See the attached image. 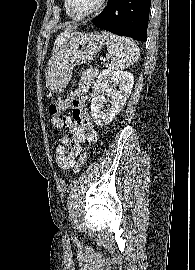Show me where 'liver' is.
Here are the masks:
<instances>
[{"instance_id": "1", "label": "liver", "mask_w": 195, "mask_h": 270, "mask_svg": "<svg viewBox=\"0 0 195 270\" xmlns=\"http://www.w3.org/2000/svg\"><path fill=\"white\" fill-rule=\"evenodd\" d=\"M70 33H71V30H66V31H64L63 33H61V34L57 37V39H56V41H55V44H54V48H53V55H54V53H55V49H56V46H57V43H58L59 39H60L61 37L65 36V35H67V34H70Z\"/></svg>"}]
</instances>
